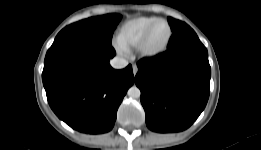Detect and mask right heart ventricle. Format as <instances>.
<instances>
[{
  "instance_id": "1",
  "label": "right heart ventricle",
  "mask_w": 261,
  "mask_h": 150,
  "mask_svg": "<svg viewBox=\"0 0 261 150\" xmlns=\"http://www.w3.org/2000/svg\"><path fill=\"white\" fill-rule=\"evenodd\" d=\"M157 19L155 16H141L126 21L117 32V45L125 51L137 47L145 30Z\"/></svg>"
}]
</instances>
